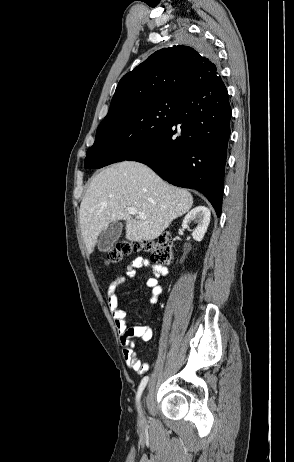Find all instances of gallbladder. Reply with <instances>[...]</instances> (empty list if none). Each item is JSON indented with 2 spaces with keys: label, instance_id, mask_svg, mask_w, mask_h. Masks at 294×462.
Returning <instances> with one entry per match:
<instances>
[{
  "label": "gallbladder",
  "instance_id": "bac80fb5",
  "mask_svg": "<svg viewBox=\"0 0 294 462\" xmlns=\"http://www.w3.org/2000/svg\"><path fill=\"white\" fill-rule=\"evenodd\" d=\"M122 233V223L115 221L104 230L98 240V250L101 252H107L113 246V244L119 239Z\"/></svg>",
  "mask_w": 294,
  "mask_h": 462
}]
</instances>
